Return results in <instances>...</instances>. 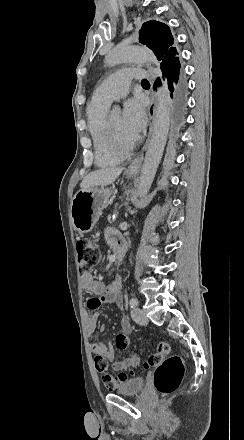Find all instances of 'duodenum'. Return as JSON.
I'll return each instance as SVG.
<instances>
[{"mask_svg":"<svg viewBox=\"0 0 244 440\" xmlns=\"http://www.w3.org/2000/svg\"><path fill=\"white\" fill-rule=\"evenodd\" d=\"M114 250H115L116 262L120 264L125 255V247L123 245V242L122 241L119 242V244L114 248Z\"/></svg>","mask_w":244,"mask_h":440,"instance_id":"410a0bca","label":"duodenum"}]
</instances>
